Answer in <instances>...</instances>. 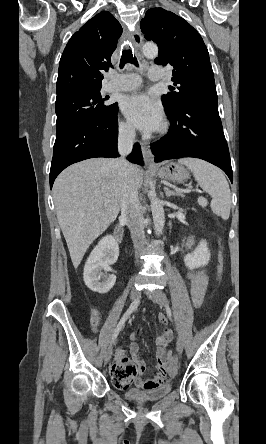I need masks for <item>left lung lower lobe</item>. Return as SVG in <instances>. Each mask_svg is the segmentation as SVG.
<instances>
[{
  "label": "left lung lower lobe",
  "mask_w": 266,
  "mask_h": 444,
  "mask_svg": "<svg viewBox=\"0 0 266 444\" xmlns=\"http://www.w3.org/2000/svg\"><path fill=\"white\" fill-rule=\"evenodd\" d=\"M168 134L151 146L157 162L194 157L221 168L233 182L230 154L218 112L217 99L188 102L167 114Z\"/></svg>",
  "instance_id": "1"
}]
</instances>
